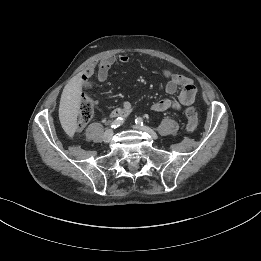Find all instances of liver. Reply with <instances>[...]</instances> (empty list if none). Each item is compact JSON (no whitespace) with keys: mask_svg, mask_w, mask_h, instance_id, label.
Returning <instances> with one entry per match:
<instances>
[{"mask_svg":"<svg viewBox=\"0 0 261 261\" xmlns=\"http://www.w3.org/2000/svg\"><path fill=\"white\" fill-rule=\"evenodd\" d=\"M82 81L81 78L76 75L68 84L64 87L60 105H59V118L61 124L75 130L77 116L81 103Z\"/></svg>","mask_w":261,"mask_h":261,"instance_id":"obj_1","label":"liver"}]
</instances>
